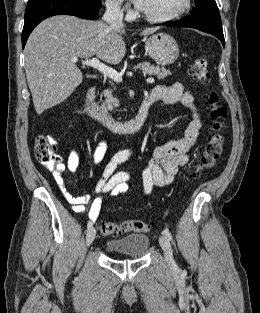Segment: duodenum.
<instances>
[{
	"instance_id": "obj_1",
	"label": "duodenum",
	"mask_w": 260,
	"mask_h": 313,
	"mask_svg": "<svg viewBox=\"0 0 260 313\" xmlns=\"http://www.w3.org/2000/svg\"><path fill=\"white\" fill-rule=\"evenodd\" d=\"M97 87L92 86L85 94L84 106L86 111L98 122L108 126L117 133L134 134L141 130L147 117L150 105L153 99L147 97L140 103L134 118L128 121H119L115 119L108 111L100 107L96 102Z\"/></svg>"
}]
</instances>
